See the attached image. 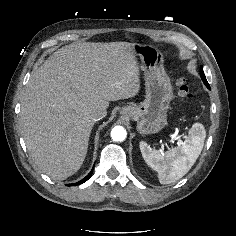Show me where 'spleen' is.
I'll return each mask as SVG.
<instances>
[{
	"mask_svg": "<svg viewBox=\"0 0 236 236\" xmlns=\"http://www.w3.org/2000/svg\"><path fill=\"white\" fill-rule=\"evenodd\" d=\"M206 131L201 123H195L181 145L165 152L152 149L146 142L139 144L142 157L149 167L158 173L161 184H170L182 178L201 154Z\"/></svg>",
	"mask_w": 236,
	"mask_h": 236,
	"instance_id": "1",
	"label": "spleen"
}]
</instances>
